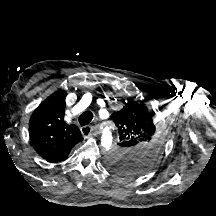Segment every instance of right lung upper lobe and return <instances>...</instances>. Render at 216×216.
Listing matches in <instances>:
<instances>
[{"mask_svg": "<svg viewBox=\"0 0 216 216\" xmlns=\"http://www.w3.org/2000/svg\"><path fill=\"white\" fill-rule=\"evenodd\" d=\"M66 95L63 90L50 95L34 110L29 122L33 147L51 163L66 159L70 150L83 140L80 129L64 121Z\"/></svg>", "mask_w": 216, "mask_h": 216, "instance_id": "right-lung-upper-lobe-1", "label": "right lung upper lobe"}]
</instances>
